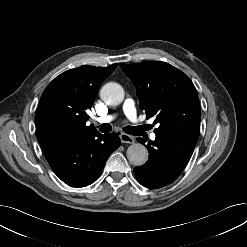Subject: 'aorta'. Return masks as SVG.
<instances>
[{"mask_svg": "<svg viewBox=\"0 0 247 247\" xmlns=\"http://www.w3.org/2000/svg\"><path fill=\"white\" fill-rule=\"evenodd\" d=\"M100 98L111 106L119 105L124 99V90L115 82L105 84L100 90ZM127 158L135 166H141L148 160V150L140 143H133L127 149Z\"/></svg>", "mask_w": 247, "mask_h": 247, "instance_id": "762f6f07", "label": "aorta"}]
</instances>
